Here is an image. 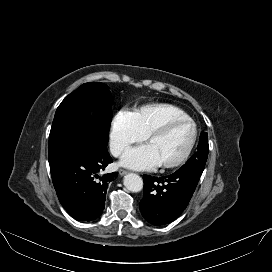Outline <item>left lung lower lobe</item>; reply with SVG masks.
<instances>
[{
	"label": "left lung lower lobe",
	"mask_w": 272,
	"mask_h": 272,
	"mask_svg": "<svg viewBox=\"0 0 272 272\" xmlns=\"http://www.w3.org/2000/svg\"><path fill=\"white\" fill-rule=\"evenodd\" d=\"M203 170L179 169L165 177L144 175V195L139 208L153 225L175 220L187 207Z\"/></svg>",
	"instance_id": "obj_1"
}]
</instances>
